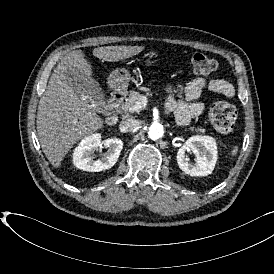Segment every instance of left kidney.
<instances>
[{"instance_id": "obj_1", "label": "left kidney", "mask_w": 274, "mask_h": 274, "mask_svg": "<svg viewBox=\"0 0 274 274\" xmlns=\"http://www.w3.org/2000/svg\"><path fill=\"white\" fill-rule=\"evenodd\" d=\"M195 154V163H190L185 152ZM217 161V145L213 137L195 135L186 140L177 152L179 168L191 176H207L212 173Z\"/></svg>"}]
</instances>
